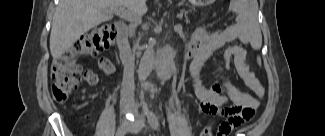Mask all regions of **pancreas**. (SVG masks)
<instances>
[{
	"mask_svg": "<svg viewBox=\"0 0 325 136\" xmlns=\"http://www.w3.org/2000/svg\"><path fill=\"white\" fill-rule=\"evenodd\" d=\"M180 16H187L182 17L181 22L182 24H189L191 22V19H197L198 13L195 12L193 6L183 5L181 6L180 10L177 12ZM130 34H132L130 32Z\"/></svg>",
	"mask_w": 325,
	"mask_h": 136,
	"instance_id": "1",
	"label": "pancreas"
}]
</instances>
